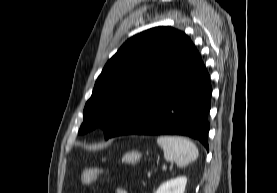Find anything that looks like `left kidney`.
<instances>
[{
	"label": "left kidney",
	"instance_id": "obj_1",
	"mask_svg": "<svg viewBox=\"0 0 277 193\" xmlns=\"http://www.w3.org/2000/svg\"><path fill=\"white\" fill-rule=\"evenodd\" d=\"M186 183L185 176L177 177L161 184L155 193H184Z\"/></svg>",
	"mask_w": 277,
	"mask_h": 193
}]
</instances>
